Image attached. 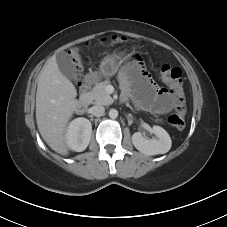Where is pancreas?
Masks as SVG:
<instances>
[{
    "mask_svg": "<svg viewBox=\"0 0 227 227\" xmlns=\"http://www.w3.org/2000/svg\"><path fill=\"white\" fill-rule=\"evenodd\" d=\"M110 82L108 80L96 84L93 89L88 93L89 100L91 103L100 105H111L114 100L106 92V86Z\"/></svg>",
    "mask_w": 227,
    "mask_h": 227,
    "instance_id": "pancreas-1",
    "label": "pancreas"
}]
</instances>
